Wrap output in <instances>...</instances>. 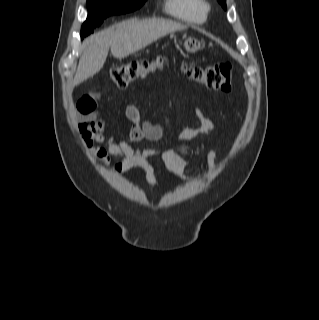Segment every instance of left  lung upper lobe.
Masks as SVG:
<instances>
[{
    "label": "left lung upper lobe",
    "instance_id": "left-lung-upper-lobe-1",
    "mask_svg": "<svg viewBox=\"0 0 319 320\" xmlns=\"http://www.w3.org/2000/svg\"><path fill=\"white\" fill-rule=\"evenodd\" d=\"M224 9H226V0H218Z\"/></svg>",
    "mask_w": 319,
    "mask_h": 320
}]
</instances>
